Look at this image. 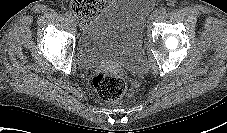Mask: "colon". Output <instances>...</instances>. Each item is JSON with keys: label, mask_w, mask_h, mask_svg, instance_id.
Returning a JSON list of instances; mask_svg holds the SVG:
<instances>
[{"label": "colon", "mask_w": 227, "mask_h": 133, "mask_svg": "<svg viewBox=\"0 0 227 133\" xmlns=\"http://www.w3.org/2000/svg\"><path fill=\"white\" fill-rule=\"evenodd\" d=\"M109 0H72L71 9L82 23H88L108 4ZM92 84L101 99L118 102L133 95L137 83H128L117 73H97Z\"/></svg>", "instance_id": "1"}]
</instances>
